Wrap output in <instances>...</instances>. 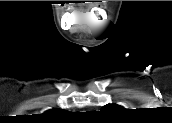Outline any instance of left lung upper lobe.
Instances as JSON below:
<instances>
[{
	"label": "left lung upper lobe",
	"mask_w": 172,
	"mask_h": 123,
	"mask_svg": "<svg viewBox=\"0 0 172 123\" xmlns=\"http://www.w3.org/2000/svg\"><path fill=\"white\" fill-rule=\"evenodd\" d=\"M111 106H118V105H111ZM108 107H110V106H108Z\"/></svg>",
	"instance_id": "5c2ea615"
}]
</instances>
